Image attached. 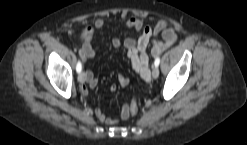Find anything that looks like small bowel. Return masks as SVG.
<instances>
[{
  "label": "small bowel",
  "mask_w": 247,
  "mask_h": 145,
  "mask_svg": "<svg viewBox=\"0 0 247 145\" xmlns=\"http://www.w3.org/2000/svg\"><path fill=\"white\" fill-rule=\"evenodd\" d=\"M93 26L96 30H102L106 26V22L103 18H97ZM125 28L132 29L137 32H141L138 39L127 38L121 40L118 37L113 38L112 46L114 48L124 47L127 51V56L130 59L131 66L134 71L145 81H149L151 78V72L149 68V57L147 54V48L152 44L151 53L153 56H157L165 49L170 47L177 39L176 28L173 24L169 23L166 19H161L157 24L151 27H145L143 22L138 18H129L124 24ZM161 36V40H157L156 37ZM81 58L84 62L91 60L95 57V51L90 42H85L80 50ZM86 80L81 85L80 90L84 95H87L88 88H93L98 84V79L95 77L92 71L85 73ZM118 81L121 86H127L129 79L119 74ZM111 92L117 90L116 85L110 86ZM125 106L119 117H110L104 113L101 108H96L95 114L97 118L106 124H115L119 119H125Z\"/></svg>",
  "instance_id": "small-bowel-1"
}]
</instances>
